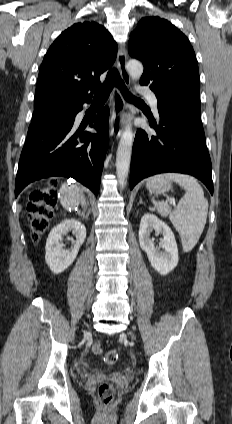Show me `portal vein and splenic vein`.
<instances>
[{"label": "portal vein and splenic vein", "mask_w": 232, "mask_h": 424, "mask_svg": "<svg viewBox=\"0 0 232 424\" xmlns=\"http://www.w3.org/2000/svg\"><path fill=\"white\" fill-rule=\"evenodd\" d=\"M170 203H171L173 206H176L175 199L171 198V199H170Z\"/></svg>", "instance_id": "portal-vein-and-splenic-vein-1"}]
</instances>
